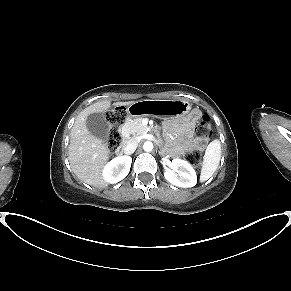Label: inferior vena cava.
Wrapping results in <instances>:
<instances>
[{
	"mask_svg": "<svg viewBox=\"0 0 291 291\" xmlns=\"http://www.w3.org/2000/svg\"><path fill=\"white\" fill-rule=\"evenodd\" d=\"M137 146H138V142L134 139H131L127 142V145L123 151L126 155H131L135 152Z\"/></svg>",
	"mask_w": 291,
	"mask_h": 291,
	"instance_id": "inferior-vena-cava-1",
	"label": "inferior vena cava"
}]
</instances>
